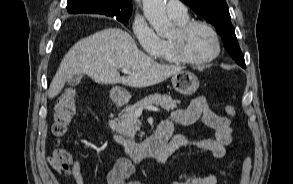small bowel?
Here are the masks:
<instances>
[{"instance_id":"1","label":"small bowel","mask_w":293,"mask_h":184,"mask_svg":"<svg viewBox=\"0 0 293 184\" xmlns=\"http://www.w3.org/2000/svg\"><path fill=\"white\" fill-rule=\"evenodd\" d=\"M167 120L175 121L184 126L201 121L215 131V136L214 138H194L186 134L174 136L168 148L156 158V162L159 165H164L177 149L188 144L208 150L214 157L220 159L224 157L226 148L232 143L233 126L231 120L210 110L203 96H198L191 100L186 108L174 110ZM50 164L56 171L63 173L71 184H86L78 158H71L65 164L54 162H50ZM133 173L134 166L132 162L126 158H119L114 162L107 174V183L141 184L131 179ZM168 184H216V177L212 174L195 176L184 173L178 180L170 181Z\"/></svg>"}]
</instances>
